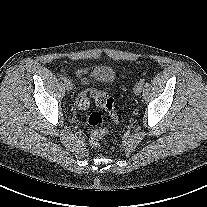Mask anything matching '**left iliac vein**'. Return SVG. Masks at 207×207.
Listing matches in <instances>:
<instances>
[{"label": "left iliac vein", "mask_w": 207, "mask_h": 207, "mask_svg": "<svg viewBox=\"0 0 207 207\" xmlns=\"http://www.w3.org/2000/svg\"><path fill=\"white\" fill-rule=\"evenodd\" d=\"M142 88L143 85L140 82L136 83V85L134 86V93L136 95H139L142 92Z\"/></svg>", "instance_id": "left-iliac-vein-1"}]
</instances>
